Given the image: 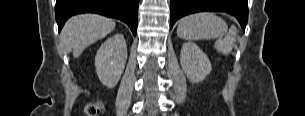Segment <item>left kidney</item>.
I'll list each match as a JSON object with an SVG mask.
<instances>
[{
  "mask_svg": "<svg viewBox=\"0 0 305 116\" xmlns=\"http://www.w3.org/2000/svg\"><path fill=\"white\" fill-rule=\"evenodd\" d=\"M180 64L192 83H199L211 72V63L207 55L194 43L182 45Z\"/></svg>",
  "mask_w": 305,
  "mask_h": 116,
  "instance_id": "1",
  "label": "left kidney"
}]
</instances>
